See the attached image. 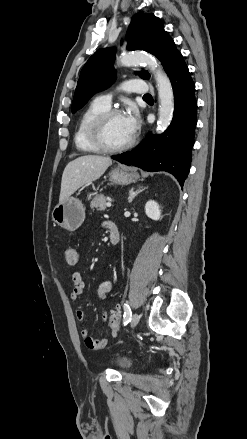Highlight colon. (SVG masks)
<instances>
[{
  "label": "colon",
  "instance_id": "5ec220e1",
  "mask_svg": "<svg viewBox=\"0 0 247 439\" xmlns=\"http://www.w3.org/2000/svg\"><path fill=\"white\" fill-rule=\"evenodd\" d=\"M66 261L70 265H75L78 262V253L76 249L70 247L66 250ZM120 319H121V313L119 308H115L109 318V327L113 332L118 331L120 327Z\"/></svg>",
  "mask_w": 247,
  "mask_h": 439
}]
</instances>
